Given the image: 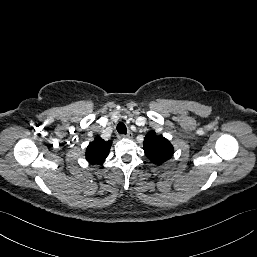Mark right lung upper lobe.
<instances>
[{
    "label": "right lung upper lobe",
    "instance_id": "obj_1",
    "mask_svg": "<svg viewBox=\"0 0 257 257\" xmlns=\"http://www.w3.org/2000/svg\"><path fill=\"white\" fill-rule=\"evenodd\" d=\"M112 142L104 141L101 137L96 136L86 150V159L91 164L102 163L109 154Z\"/></svg>",
    "mask_w": 257,
    "mask_h": 257
}]
</instances>
